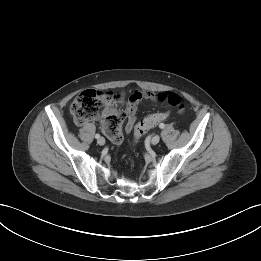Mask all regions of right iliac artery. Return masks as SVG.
<instances>
[{"mask_svg": "<svg viewBox=\"0 0 261 261\" xmlns=\"http://www.w3.org/2000/svg\"><path fill=\"white\" fill-rule=\"evenodd\" d=\"M95 138H96V139L100 138V134H96V135H95Z\"/></svg>", "mask_w": 261, "mask_h": 261, "instance_id": "obj_1", "label": "right iliac artery"}]
</instances>
